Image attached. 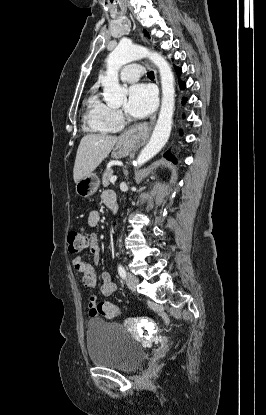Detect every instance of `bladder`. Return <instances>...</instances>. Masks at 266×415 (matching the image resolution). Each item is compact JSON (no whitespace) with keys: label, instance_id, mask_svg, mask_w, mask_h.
I'll return each instance as SVG.
<instances>
[{"label":"bladder","instance_id":"1","mask_svg":"<svg viewBox=\"0 0 266 415\" xmlns=\"http://www.w3.org/2000/svg\"><path fill=\"white\" fill-rule=\"evenodd\" d=\"M86 347L91 364L131 372L143 363L146 350L118 323L93 318L88 321Z\"/></svg>","mask_w":266,"mask_h":415}]
</instances>
